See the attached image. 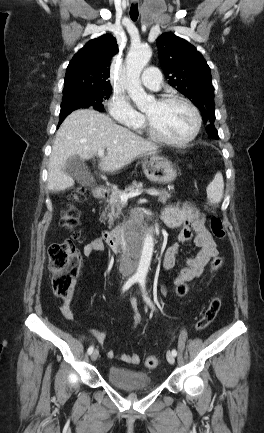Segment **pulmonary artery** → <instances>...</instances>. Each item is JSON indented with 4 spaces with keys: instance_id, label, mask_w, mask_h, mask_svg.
<instances>
[{
    "instance_id": "obj_1",
    "label": "pulmonary artery",
    "mask_w": 264,
    "mask_h": 433,
    "mask_svg": "<svg viewBox=\"0 0 264 433\" xmlns=\"http://www.w3.org/2000/svg\"><path fill=\"white\" fill-rule=\"evenodd\" d=\"M141 81L147 88L157 91L161 88V73L156 67H148L144 72Z\"/></svg>"
}]
</instances>
